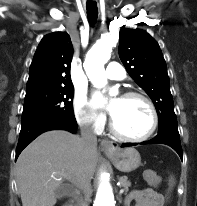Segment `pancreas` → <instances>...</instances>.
<instances>
[{
  "mask_svg": "<svg viewBox=\"0 0 197 206\" xmlns=\"http://www.w3.org/2000/svg\"><path fill=\"white\" fill-rule=\"evenodd\" d=\"M119 182L121 183V186L124 188L125 192H128L131 182L128 181L127 176L119 177Z\"/></svg>",
  "mask_w": 197,
  "mask_h": 206,
  "instance_id": "cf45deb5",
  "label": "pancreas"
}]
</instances>
